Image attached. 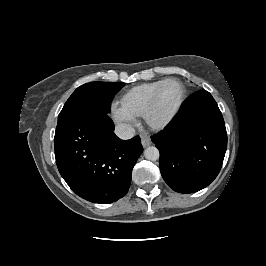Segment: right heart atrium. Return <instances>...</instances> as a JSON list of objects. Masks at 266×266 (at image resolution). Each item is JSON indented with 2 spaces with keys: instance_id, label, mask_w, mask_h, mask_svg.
Segmentation results:
<instances>
[{
  "instance_id": "1",
  "label": "right heart atrium",
  "mask_w": 266,
  "mask_h": 266,
  "mask_svg": "<svg viewBox=\"0 0 266 266\" xmlns=\"http://www.w3.org/2000/svg\"><path fill=\"white\" fill-rule=\"evenodd\" d=\"M111 116L117 123L133 124L135 122V116L116 103L111 105Z\"/></svg>"
}]
</instances>
